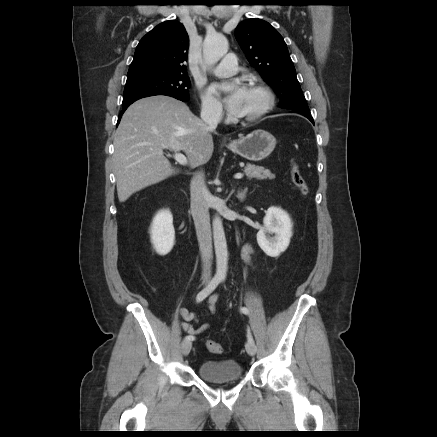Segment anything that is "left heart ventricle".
Segmentation results:
<instances>
[{"label": "left heart ventricle", "instance_id": "left-heart-ventricle-1", "mask_svg": "<svg viewBox=\"0 0 437 437\" xmlns=\"http://www.w3.org/2000/svg\"><path fill=\"white\" fill-rule=\"evenodd\" d=\"M264 95L255 89L246 88L236 116H248L256 113L264 104Z\"/></svg>", "mask_w": 437, "mask_h": 437}]
</instances>
